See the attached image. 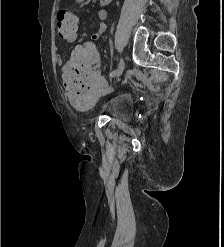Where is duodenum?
<instances>
[{
  "instance_id": "duodenum-1",
  "label": "duodenum",
  "mask_w": 224,
  "mask_h": 247,
  "mask_svg": "<svg viewBox=\"0 0 224 247\" xmlns=\"http://www.w3.org/2000/svg\"><path fill=\"white\" fill-rule=\"evenodd\" d=\"M100 2L103 6H106L111 2V0H100Z\"/></svg>"
}]
</instances>
